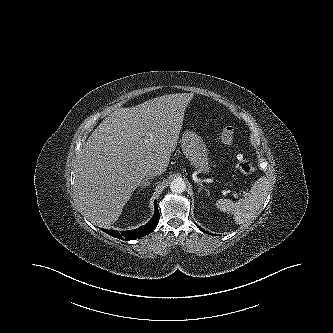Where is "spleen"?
<instances>
[{"label": "spleen", "mask_w": 333, "mask_h": 333, "mask_svg": "<svg viewBox=\"0 0 333 333\" xmlns=\"http://www.w3.org/2000/svg\"><path fill=\"white\" fill-rule=\"evenodd\" d=\"M270 183L265 176L258 178L251 187L250 193L243 199L234 203L230 199H220L216 202L218 209L224 212H232L236 224L251 222L257 211L262 206L268 191Z\"/></svg>", "instance_id": "1"}]
</instances>
